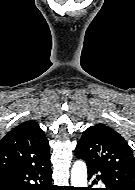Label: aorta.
<instances>
[{
    "mask_svg": "<svg viewBox=\"0 0 135 190\" xmlns=\"http://www.w3.org/2000/svg\"><path fill=\"white\" fill-rule=\"evenodd\" d=\"M71 185L73 187H87V166L78 160L71 169Z\"/></svg>",
    "mask_w": 135,
    "mask_h": 190,
    "instance_id": "obj_1",
    "label": "aorta"
}]
</instances>
